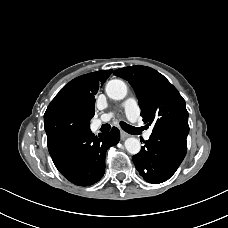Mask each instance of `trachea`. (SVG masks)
<instances>
[{
  "label": "trachea",
  "mask_w": 228,
  "mask_h": 228,
  "mask_svg": "<svg viewBox=\"0 0 228 228\" xmlns=\"http://www.w3.org/2000/svg\"><path fill=\"white\" fill-rule=\"evenodd\" d=\"M120 126L121 128L126 131L127 133H130V134H137L139 133L140 129L139 128H136V127H133L123 121H120ZM111 126L109 124H103L101 126V130L102 132H108L110 130Z\"/></svg>",
  "instance_id": "3493384b"
}]
</instances>
